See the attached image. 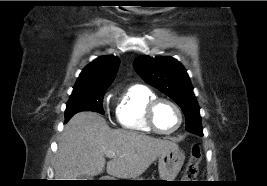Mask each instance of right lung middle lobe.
<instances>
[{"instance_id":"1","label":"right lung middle lobe","mask_w":267,"mask_h":186,"mask_svg":"<svg viewBox=\"0 0 267 186\" xmlns=\"http://www.w3.org/2000/svg\"><path fill=\"white\" fill-rule=\"evenodd\" d=\"M107 88L72 92L65 110V122L80 111H92L104 114L103 95Z\"/></svg>"}]
</instances>
